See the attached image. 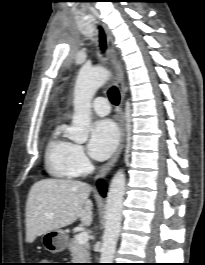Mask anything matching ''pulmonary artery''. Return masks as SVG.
<instances>
[{
	"label": "pulmonary artery",
	"mask_w": 205,
	"mask_h": 265,
	"mask_svg": "<svg viewBox=\"0 0 205 265\" xmlns=\"http://www.w3.org/2000/svg\"><path fill=\"white\" fill-rule=\"evenodd\" d=\"M92 109L98 115L105 116L109 113L110 106L107 99L103 97H98L93 101Z\"/></svg>",
	"instance_id": "e3ab8cb5"
}]
</instances>
